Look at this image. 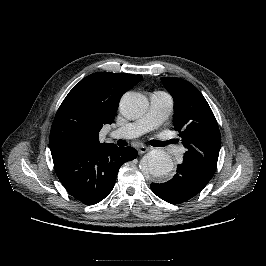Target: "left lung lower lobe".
I'll return each mask as SVG.
<instances>
[{
  "label": "left lung lower lobe",
  "mask_w": 266,
  "mask_h": 266,
  "mask_svg": "<svg viewBox=\"0 0 266 266\" xmlns=\"http://www.w3.org/2000/svg\"><path fill=\"white\" fill-rule=\"evenodd\" d=\"M213 177L183 161L177 173L166 183H151V190L168 203L180 204L197 195Z\"/></svg>",
  "instance_id": "left-lung-lower-lobe-1"
}]
</instances>
